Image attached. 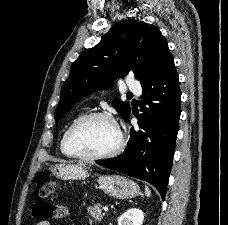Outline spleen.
I'll use <instances>...</instances> for the list:
<instances>
[{"label": "spleen", "instance_id": "3e777b00", "mask_svg": "<svg viewBox=\"0 0 228 225\" xmlns=\"http://www.w3.org/2000/svg\"><path fill=\"white\" fill-rule=\"evenodd\" d=\"M145 195H146V197H150V195H151V191H150V189H148V187H145Z\"/></svg>", "mask_w": 228, "mask_h": 225}]
</instances>
